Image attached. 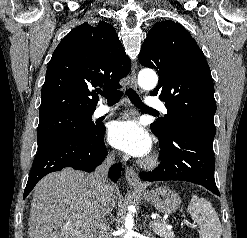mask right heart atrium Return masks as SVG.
<instances>
[{"label":"right heart atrium","mask_w":247,"mask_h":238,"mask_svg":"<svg viewBox=\"0 0 247 238\" xmlns=\"http://www.w3.org/2000/svg\"><path fill=\"white\" fill-rule=\"evenodd\" d=\"M108 155H109L110 157H113V153H112V152H109Z\"/></svg>","instance_id":"1"}]
</instances>
